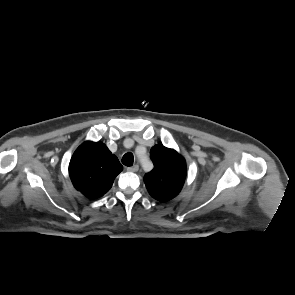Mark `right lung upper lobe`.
Here are the masks:
<instances>
[{"mask_svg": "<svg viewBox=\"0 0 295 295\" xmlns=\"http://www.w3.org/2000/svg\"><path fill=\"white\" fill-rule=\"evenodd\" d=\"M122 169L118 158L101 142H84L76 149L69 163V175L74 187L91 199L107 193Z\"/></svg>", "mask_w": 295, "mask_h": 295, "instance_id": "1", "label": "right lung upper lobe"}]
</instances>
